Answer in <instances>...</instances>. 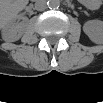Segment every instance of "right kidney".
<instances>
[{"label":"right kidney","mask_w":103,"mask_h":103,"mask_svg":"<svg viewBox=\"0 0 103 103\" xmlns=\"http://www.w3.org/2000/svg\"><path fill=\"white\" fill-rule=\"evenodd\" d=\"M22 27L23 22H15V19L5 25L1 22L2 38L8 42L17 41L22 35Z\"/></svg>","instance_id":"1"}]
</instances>
